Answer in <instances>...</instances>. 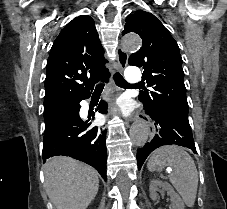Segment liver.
<instances>
[{"instance_id":"liver-1","label":"liver","mask_w":227,"mask_h":209,"mask_svg":"<svg viewBox=\"0 0 227 209\" xmlns=\"http://www.w3.org/2000/svg\"><path fill=\"white\" fill-rule=\"evenodd\" d=\"M45 191L56 209H87L99 191L95 169L70 157H55L44 165Z\"/></svg>"}]
</instances>
